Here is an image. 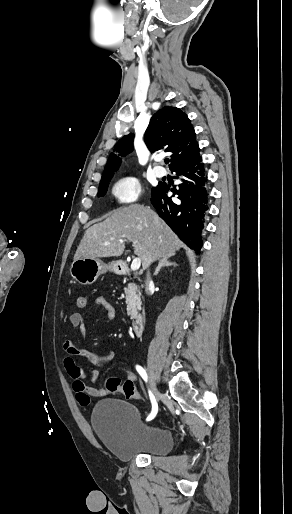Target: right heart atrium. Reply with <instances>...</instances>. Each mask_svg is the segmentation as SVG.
Instances as JSON below:
<instances>
[{"label": "right heart atrium", "mask_w": 292, "mask_h": 514, "mask_svg": "<svg viewBox=\"0 0 292 514\" xmlns=\"http://www.w3.org/2000/svg\"><path fill=\"white\" fill-rule=\"evenodd\" d=\"M142 184L134 173H126L113 180L109 188L111 200L116 209H124L140 196Z\"/></svg>", "instance_id": "obj_1"}]
</instances>
